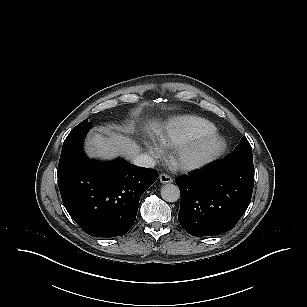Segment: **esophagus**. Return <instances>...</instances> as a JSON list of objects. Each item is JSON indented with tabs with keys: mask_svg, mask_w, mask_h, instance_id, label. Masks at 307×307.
I'll return each instance as SVG.
<instances>
[{
	"mask_svg": "<svg viewBox=\"0 0 307 307\" xmlns=\"http://www.w3.org/2000/svg\"><path fill=\"white\" fill-rule=\"evenodd\" d=\"M159 180L161 181V183L163 184H167V183H172L173 182V179L167 175V174H160L159 176Z\"/></svg>",
	"mask_w": 307,
	"mask_h": 307,
	"instance_id": "34e87169",
	"label": "esophagus"
}]
</instances>
